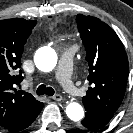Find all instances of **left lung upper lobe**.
<instances>
[{
	"instance_id": "left-lung-upper-lobe-1",
	"label": "left lung upper lobe",
	"mask_w": 133,
	"mask_h": 133,
	"mask_svg": "<svg viewBox=\"0 0 133 133\" xmlns=\"http://www.w3.org/2000/svg\"><path fill=\"white\" fill-rule=\"evenodd\" d=\"M78 30L89 65L90 87L82 98L85 107L115 113L124 98L128 59L117 34L100 19L78 14Z\"/></svg>"
}]
</instances>
